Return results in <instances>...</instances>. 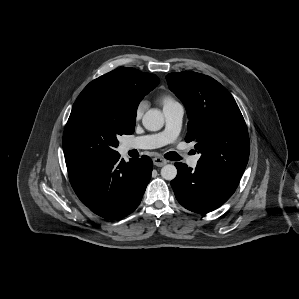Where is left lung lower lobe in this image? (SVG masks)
Returning a JSON list of instances; mask_svg holds the SVG:
<instances>
[{
	"mask_svg": "<svg viewBox=\"0 0 299 299\" xmlns=\"http://www.w3.org/2000/svg\"><path fill=\"white\" fill-rule=\"evenodd\" d=\"M178 174L171 181L178 202L196 213H207L224 204L235 192L239 179L197 165L195 170L175 163Z\"/></svg>",
	"mask_w": 299,
	"mask_h": 299,
	"instance_id": "obj_1",
	"label": "left lung lower lobe"
}]
</instances>
